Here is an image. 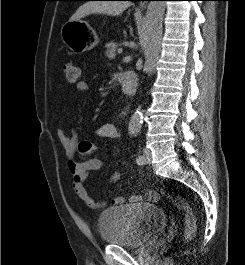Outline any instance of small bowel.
I'll list each match as a JSON object with an SVG mask.
<instances>
[{
	"mask_svg": "<svg viewBox=\"0 0 245 265\" xmlns=\"http://www.w3.org/2000/svg\"><path fill=\"white\" fill-rule=\"evenodd\" d=\"M76 89L79 92H86L89 86L86 81L80 80L76 83ZM95 134L99 138L116 139L119 137V131L117 127L112 123L101 124L95 131ZM57 136L62 145L64 152L69 158L68 170L72 177V187L79 199H81L88 207L93 209L102 208L105 206L104 201H96L93 199L85 186V181L91 172L99 171L103 167L101 160L97 158H91L86 161L77 162L74 160V156L77 150V144L79 135L75 130H72L70 134H67L62 128L57 129ZM120 177L119 172L113 171L110 175L109 182L114 183ZM159 199V194L154 190H146L144 195L134 194L129 198L131 203L142 202L143 200L149 202H156ZM125 202V198L122 196H116L112 199L111 203L115 206L122 205Z\"/></svg>",
	"mask_w": 245,
	"mask_h": 265,
	"instance_id": "1",
	"label": "small bowel"
}]
</instances>
